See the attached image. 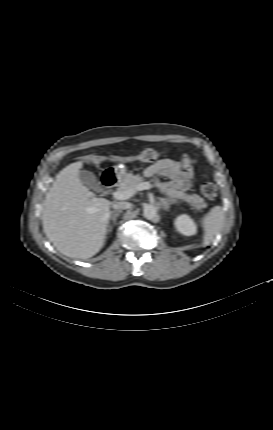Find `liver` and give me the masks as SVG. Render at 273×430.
I'll use <instances>...</instances> for the list:
<instances>
[{
	"label": "liver",
	"mask_w": 273,
	"mask_h": 430,
	"mask_svg": "<svg viewBox=\"0 0 273 430\" xmlns=\"http://www.w3.org/2000/svg\"><path fill=\"white\" fill-rule=\"evenodd\" d=\"M82 162L59 172L46 194L43 230L62 254L90 258L102 248L112 202L97 198L79 178Z\"/></svg>",
	"instance_id": "1"
}]
</instances>
